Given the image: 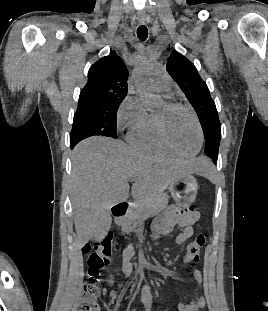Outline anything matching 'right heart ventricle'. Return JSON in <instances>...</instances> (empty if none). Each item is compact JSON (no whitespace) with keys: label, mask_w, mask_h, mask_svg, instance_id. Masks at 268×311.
Segmentation results:
<instances>
[{"label":"right heart ventricle","mask_w":268,"mask_h":311,"mask_svg":"<svg viewBox=\"0 0 268 311\" xmlns=\"http://www.w3.org/2000/svg\"><path fill=\"white\" fill-rule=\"evenodd\" d=\"M127 139L134 147L141 150L170 152L158 134L156 113L146 114L143 120L130 129Z\"/></svg>","instance_id":"obj_1"}]
</instances>
